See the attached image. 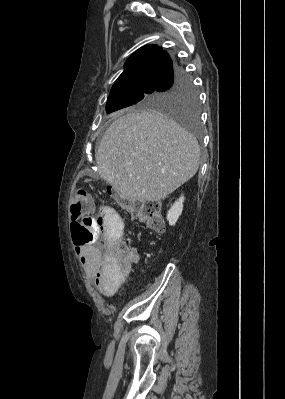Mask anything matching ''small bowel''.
<instances>
[{"instance_id":"c3829d8e","label":"small bowel","mask_w":285,"mask_h":399,"mask_svg":"<svg viewBox=\"0 0 285 399\" xmlns=\"http://www.w3.org/2000/svg\"><path fill=\"white\" fill-rule=\"evenodd\" d=\"M133 217H136L133 215ZM89 231L101 232L103 242L99 244L88 243L85 246L78 247L77 253L80 256L86 270L95 274L96 286L103 296L113 295L122 283V278L115 268L110 265V260L101 254V250L114 240L118 239L125 228L124 222L108 206L100 207V214L93 219L89 226ZM81 237L86 233L81 232ZM77 248V247H76ZM136 252L137 249L133 248ZM137 256L135 255V259Z\"/></svg>"}]
</instances>
